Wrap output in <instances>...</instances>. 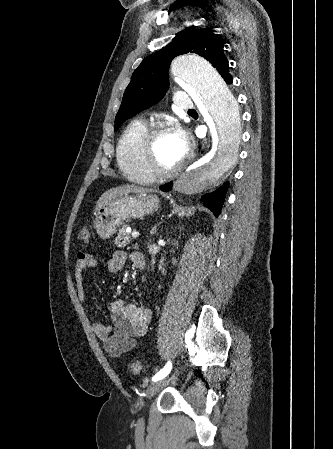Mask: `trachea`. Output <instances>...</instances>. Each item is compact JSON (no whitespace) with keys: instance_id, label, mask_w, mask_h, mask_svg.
<instances>
[{"instance_id":"trachea-1","label":"trachea","mask_w":333,"mask_h":449,"mask_svg":"<svg viewBox=\"0 0 333 449\" xmlns=\"http://www.w3.org/2000/svg\"><path fill=\"white\" fill-rule=\"evenodd\" d=\"M188 112H195V110H188Z\"/></svg>"}]
</instances>
